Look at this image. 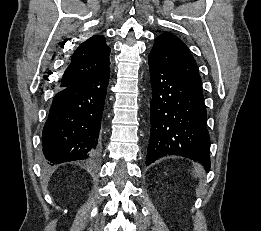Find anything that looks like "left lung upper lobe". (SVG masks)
<instances>
[{"mask_svg": "<svg viewBox=\"0 0 261 231\" xmlns=\"http://www.w3.org/2000/svg\"><path fill=\"white\" fill-rule=\"evenodd\" d=\"M149 57L155 58L182 81L202 92L196 62L188 47L175 35L169 32L159 35Z\"/></svg>", "mask_w": 261, "mask_h": 231, "instance_id": "left-lung-upper-lobe-1", "label": "left lung upper lobe"}]
</instances>
